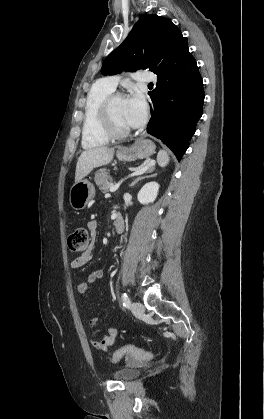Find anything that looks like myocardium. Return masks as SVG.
<instances>
[{"label": "myocardium", "instance_id": "myocardium-1", "mask_svg": "<svg viewBox=\"0 0 264 419\" xmlns=\"http://www.w3.org/2000/svg\"><path fill=\"white\" fill-rule=\"evenodd\" d=\"M117 98H123L120 92H112L108 95L101 105V122L105 133L114 139H120L128 136L131 133L130 128H120L113 117L112 106Z\"/></svg>", "mask_w": 264, "mask_h": 419}]
</instances>
